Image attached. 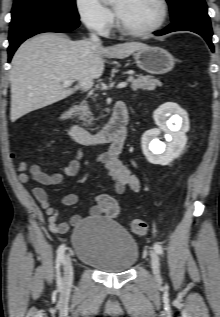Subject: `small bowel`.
Wrapping results in <instances>:
<instances>
[{
	"mask_svg": "<svg viewBox=\"0 0 220 317\" xmlns=\"http://www.w3.org/2000/svg\"><path fill=\"white\" fill-rule=\"evenodd\" d=\"M122 147L111 146V148L97 157V161L103 165L106 173L114 181V191L116 194H123L125 191L139 192L141 185L136 174L131 172L129 168L119 160V154ZM82 156L81 149H78L74 158L65 166L62 171L56 173H45L38 165H31L29 172L27 166L21 164L18 168V177L22 183L32 180L43 186H55L60 184L65 176H75L80 169V159ZM135 165V162H133ZM33 196L39 203L40 207L45 211L48 217L50 229L55 233H66L72 225H76L81 221L80 215H74L69 221L58 222V210L51 205L47 192L42 187H34L32 189ZM110 197L108 194L101 193L95 197L96 204L92 206L89 213L92 216H100L103 214V202ZM77 194L70 193L62 197L60 203L64 206H71L78 202Z\"/></svg>",
	"mask_w": 220,
	"mask_h": 317,
	"instance_id": "obj_1",
	"label": "small bowel"
}]
</instances>
